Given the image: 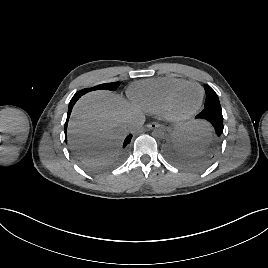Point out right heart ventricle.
Masks as SVG:
<instances>
[{
  "instance_id": "1",
  "label": "right heart ventricle",
  "mask_w": 268,
  "mask_h": 268,
  "mask_svg": "<svg viewBox=\"0 0 268 268\" xmlns=\"http://www.w3.org/2000/svg\"><path fill=\"white\" fill-rule=\"evenodd\" d=\"M185 82L188 81L175 77L146 79L131 85L128 94L136 108L147 113H160L168 94Z\"/></svg>"
}]
</instances>
